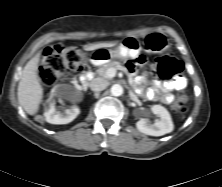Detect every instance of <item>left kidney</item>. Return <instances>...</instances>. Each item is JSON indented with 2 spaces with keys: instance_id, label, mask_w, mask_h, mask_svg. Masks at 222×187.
I'll list each match as a JSON object with an SVG mask.
<instances>
[{
  "instance_id": "obj_1",
  "label": "left kidney",
  "mask_w": 222,
  "mask_h": 187,
  "mask_svg": "<svg viewBox=\"0 0 222 187\" xmlns=\"http://www.w3.org/2000/svg\"><path fill=\"white\" fill-rule=\"evenodd\" d=\"M151 111L159 119H156L151 124L148 119L141 118L136 123V127L140 132L150 136H162L173 131L174 125L166 108L161 105H153Z\"/></svg>"
}]
</instances>
